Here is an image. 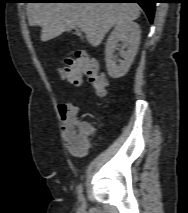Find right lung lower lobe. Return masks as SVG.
I'll list each match as a JSON object with an SVG mask.
<instances>
[{
  "label": "right lung lower lobe",
  "mask_w": 188,
  "mask_h": 213,
  "mask_svg": "<svg viewBox=\"0 0 188 213\" xmlns=\"http://www.w3.org/2000/svg\"><path fill=\"white\" fill-rule=\"evenodd\" d=\"M81 1V0H80ZM84 2H121V3H138L146 12L150 22L153 21L156 0H82Z\"/></svg>",
  "instance_id": "1"
}]
</instances>
